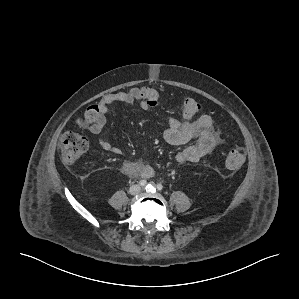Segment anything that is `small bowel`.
Instances as JSON below:
<instances>
[{"label":"small bowel","mask_w":299,"mask_h":299,"mask_svg":"<svg viewBox=\"0 0 299 299\" xmlns=\"http://www.w3.org/2000/svg\"><path fill=\"white\" fill-rule=\"evenodd\" d=\"M114 103H124L142 111L149 112L154 107L148 105L140 93V88L134 87L128 91H119L104 95L99 101L100 116L98 120L89 125V131L94 135H99L105 124L109 107ZM168 128L164 131L163 137L166 142L172 145H183L192 140L195 143L185 147L175 155L177 163L197 162L209 154L219 143L222 142L221 135L214 129L212 118L207 114H201L196 119L185 117H167ZM99 146L108 152L119 154L120 148L113 145L103 137L98 138ZM135 175L149 178L154 174V169L145 161L136 164Z\"/></svg>","instance_id":"obj_1"}]
</instances>
